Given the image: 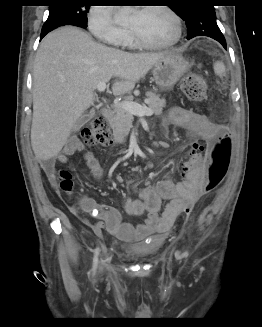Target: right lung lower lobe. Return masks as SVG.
I'll list each match as a JSON object with an SVG mask.
<instances>
[{
    "label": "right lung lower lobe",
    "instance_id": "1",
    "mask_svg": "<svg viewBox=\"0 0 262 327\" xmlns=\"http://www.w3.org/2000/svg\"><path fill=\"white\" fill-rule=\"evenodd\" d=\"M64 25H74V26H79V27H82V28H86V26L80 25V24H76V23L61 24V25H58V26H55V27H52V28H48V29L42 30L41 37L40 38L42 39L50 31L54 30L57 27L64 26Z\"/></svg>",
    "mask_w": 262,
    "mask_h": 327
}]
</instances>
